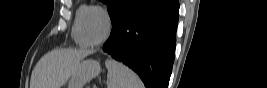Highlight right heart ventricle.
<instances>
[{"instance_id":"obj_1","label":"right heart ventricle","mask_w":267,"mask_h":88,"mask_svg":"<svg viewBox=\"0 0 267 88\" xmlns=\"http://www.w3.org/2000/svg\"><path fill=\"white\" fill-rule=\"evenodd\" d=\"M92 7H94V6H90V5H86V4H80L77 6V8L75 10V16H74L72 28H71V35H72V38L75 41V43L79 46H86V44L84 43V41L82 40L81 35H80L81 17L87 9L92 8Z\"/></svg>"}]
</instances>
